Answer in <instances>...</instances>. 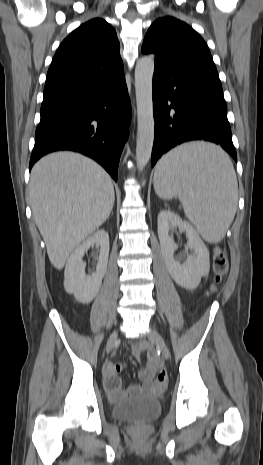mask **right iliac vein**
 Returning a JSON list of instances; mask_svg holds the SVG:
<instances>
[{
  "label": "right iliac vein",
  "instance_id": "1",
  "mask_svg": "<svg viewBox=\"0 0 263 465\" xmlns=\"http://www.w3.org/2000/svg\"><path fill=\"white\" fill-rule=\"evenodd\" d=\"M117 339H118V332L117 331H114L108 341H107V345H106V351L107 353H109L115 346L116 342H117Z\"/></svg>",
  "mask_w": 263,
  "mask_h": 465
}]
</instances>
